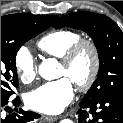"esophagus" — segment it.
Returning <instances> with one entry per match:
<instances>
[{
  "mask_svg": "<svg viewBox=\"0 0 123 123\" xmlns=\"http://www.w3.org/2000/svg\"><path fill=\"white\" fill-rule=\"evenodd\" d=\"M43 118L49 122H54L59 119V117H57V116H48V115H44Z\"/></svg>",
  "mask_w": 123,
  "mask_h": 123,
  "instance_id": "1",
  "label": "esophagus"
}]
</instances>
